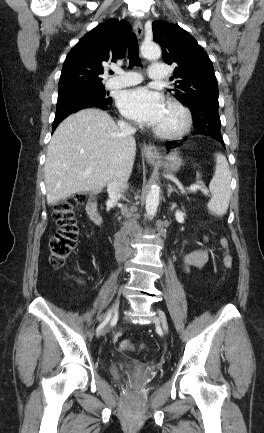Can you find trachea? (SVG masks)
Returning a JSON list of instances; mask_svg holds the SVG:
<instances>
[{
	"mask_svg": "<svg viewBox=\"0 0 264 433\" xmlns=\"http://www.w3.org/2000/svg\"><path fill=\"white\" fill-rule=\"evenodd\" d=\"M128 56L130 66H140L138 41L135 34H130L128 42Z\"/></svg>",
	"mask_w": 264,
	"mask_h": 433,
	"instance_id": "3493384b",
	"label": "trachea"
}]
</instances>
